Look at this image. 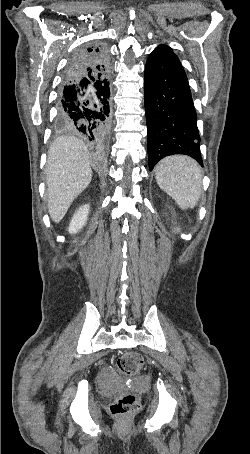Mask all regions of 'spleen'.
I'll return each instance as SVG.
<instances>
[{
	"instance_id": "1",
	"label": "spleen",
	"mask_w": 250,
	"mask_h": 454,
	"mask_svg": "<svg viewBox=\"0 0 250 454\" xmlns=\"http://www.w3.org/2000/svg\"><path fill=\"white\" fill-rule=\"evenodd\" d=\"M159 187L171 196L181 209L193 208L202 190V175L196 161L186 156L166 157L155 171Z\"/></svg>"
}]
</instances>
